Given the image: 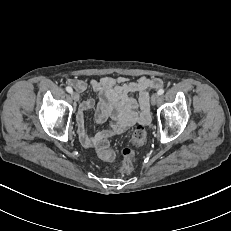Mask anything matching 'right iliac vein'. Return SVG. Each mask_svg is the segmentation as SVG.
Here are the masks:
<instances>
[{"label":"right iliac vein","mask_w":231,"mask_h":231,"mask_svg":"<svg viewBox=\"0 0 231 231\" xmlns=\"http://www.w3.org/2000/svg\"><path fill=\"white\" fill-rule=\"evenodd\" d=\"M71 96H72L73 100L76 101V102L79 101V99H80L79 94L76 93V92H72Z\"/></svg>","instance_id":"obj_1"}]
</instances>
